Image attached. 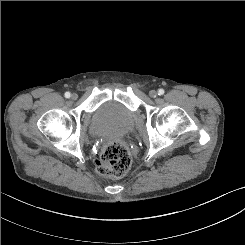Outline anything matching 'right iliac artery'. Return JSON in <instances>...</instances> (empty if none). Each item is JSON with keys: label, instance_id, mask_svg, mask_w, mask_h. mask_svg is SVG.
Returning <instances> with one entry per match:
<instances>
[{"label": "right iliac artery", "instance_id": "82829eb1", "mask_svg": "<svg viewBox=\"0 0 245 245\" xmlns=\"http://www.w3.org/2000/svg\"><path fill=\"white\" fill-rule=\"evenodd\" d=\"M70 96H71V94H70L69 92H66V93H65V97H66V98H70Z\"/></svg>", "mask_w": 245, "mask_h": 245}]
</instances>
